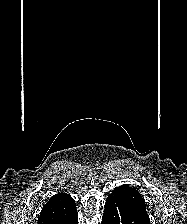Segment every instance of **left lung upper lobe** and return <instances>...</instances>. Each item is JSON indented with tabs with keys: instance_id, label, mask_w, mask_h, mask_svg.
<instances>
[{
	"instance_id": "obj_1",
	"label": "left lung upper lobe",
	"mask_w": 187,
	"mask_h": 224,
	"mask_svg": "<svg viewBox=\"0 0 187 224\" xmlns=\"http://www.w3.org/2000/svg\"><path fill=\"white\" fill-rule=\"evenodd\" d=\"M116 189L125 195V197L136 210L148 216L146 211V202L135 188L130 187L128 184H124L123 186H119Z\"/></svg>"
}]
</instances>
